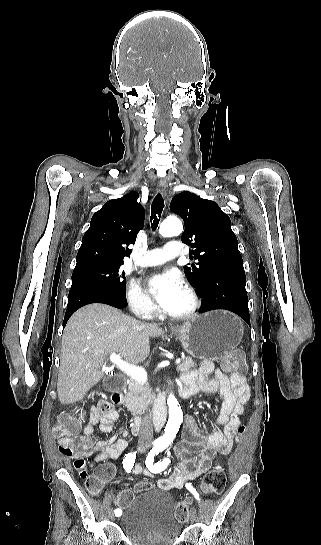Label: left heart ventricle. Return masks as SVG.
<instances>
[{
    "mask_svg": "<svg viewBox=\"0 0 321 545\" xmlns=\"http://www.w3.org/2000/svg\"><path fill=\"white\" fill-rule=\"evenodd\" d=\"M192 306L190 295L182 288L176 296L168 313H184Z\"/></svg>",
    "mask_w": 321,
    "mask_h": 545,
    "instance_id": "left-heart-ventricle-1",
    "label": "left heart ventricle"
}]
</instances>
